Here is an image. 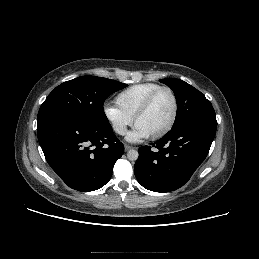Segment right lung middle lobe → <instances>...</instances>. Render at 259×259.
I'll use <instances>...</instances> for the list:
<instances>
[{
	"label": "right lung middle lobe",
	"mask_w": 259,
	"mask_h": 259,
	"mask_svg": "<svg viewBox=\"0 0 259 259\" xmlns=\"http://www.w3.org/2000/svg\"><path fill=\"white\" fill-rule=\"evenodd\" d=\"M127 84L96 76H81L57 86L41 105L38 124L57 116L70 115L96 123H109L105 99Z\"/></svg>",
	"instance_id": "1"
}]
</instances>
